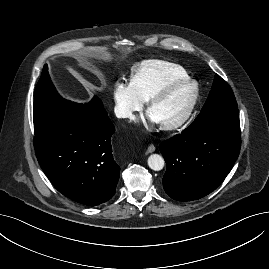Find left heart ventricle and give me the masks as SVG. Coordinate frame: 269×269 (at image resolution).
Here are the masks:
<instances>
[{
    "instance_id": "obj_1",
    "label": "left heart ventricle",
    "mask_w": 269,
    "mask_h": 269,
    "mask_svg": "<svg viewBox=\"0 0 269 269\" xmlns=\"http://www.w3.org/2000/svg\"><path fill=\"white\" fill-rule=\"evenodd\" d=\"M191 96L190 88H180L152 106L149 113L159 124L177 120L184 112Z\"/></svg>"
}]
</instances>
